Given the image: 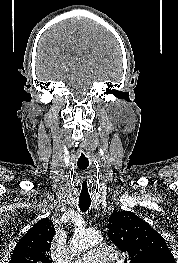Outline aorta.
I'll return each instance as SVG.
<instances>
[{
	"mask_svg": "<svg viewBox=\"0 0 178 263\" xmlns=\"http://www.w3.org/2000/svg\"><path fill=\"white\" fill-rule=\"evenodd\" d=\"M102 241V236L95 230H80L75 232L71 240V250L75 254H81L92 246Z\"/></svg>",
	"mask_w": 178,
	"mask_h": 263,
	"instance_id": "obj_1",
	"label": "aorta"
}]
</instances>
